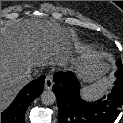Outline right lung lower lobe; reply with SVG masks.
Segmentation results:
<instances>
[{"instance_id": "98d812e1", "label": "right lung lower lobe", "mask_w": 123, "mask_h": 123, "mask_svg": "<svg viewBox=\"0 0 123 123\" xmlns=\"http://www.w3.org/2000/svg\"><path fill=\"white\" fill-rule=\"evenodd\" d=\"M45 75L26 85L16 96L12 104L1 113V123H25V112L28 106L43 91Z\"/></svg>"}]
</instances>
